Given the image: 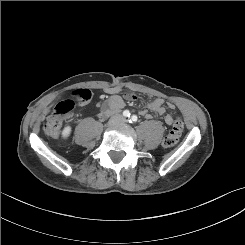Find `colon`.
<instances>
[{
	"label": "colon",
	"mask_w": 245,
	"mask_h": 245,
	"mask_svg": "<svg viewBox=\"0 0 245 245\" xmlns=\"http://www.w3.org/2000/svg\"><path fill=\"white\" fill-rule=\"evenodd\" d=\"M92 93L87 89L72 92L67 98L56 104L51 110L44 114V130L47 135L57 137L60 133L62 121L73 116L78 104L87 103L91 100ZM183 123L179 118L174 120L173 126L163 140V146L170 148L175 146L181 136Z\"/></svg>",
	"instance_id": "1"
}]
</instances>
